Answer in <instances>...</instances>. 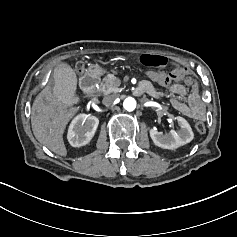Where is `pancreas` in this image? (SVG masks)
<instances>
[{"instance_id":"pancreas-1","label":"pancreas","mask_w":237,"mask_h":237,"mask_svg":"<svg viewBox=\"0 0 237 237\" xmlns=\"http://www.w3.org/2000/svg\"><path fill=\"white\" fill-rule=\"evenodd\" d=\"M116 80L117 78L114 75L108 74L102 79L99 90L105 95L115 92L120 85V83H116Z\"/></svg>"}]
</instances>
